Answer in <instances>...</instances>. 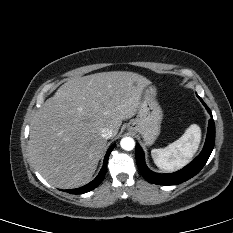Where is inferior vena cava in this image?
Segmentation results:
<instances>
[{"mask_svg":"<svg viewBox=\"0 0 233 233\" xmlns=\"http://www.w3.org/2000/svg\"><path fill=\"white\" fill-rule=\"evenodd\" d=\"M112 135H113L112 130L109 128H104L101 131V136L106 140L110 139L112 137Z\"/></svg>","mask_w":233,"mask_h":233,"instance_id":"inferior-vena-cava-1","label":"inferior vena cava"}]
</instances>
